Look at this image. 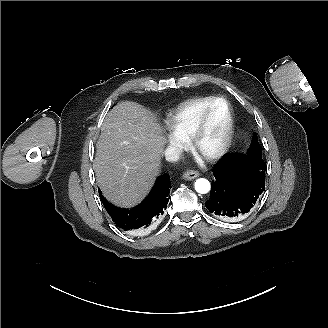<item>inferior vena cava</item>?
<instances>
[{
    "instance_id": "inferior-vena-cava-1",
    "label": "inferior vena cava",
    "mask_w": 328,
    "mask_h": 328,
    "mask_svg": "<svg viewBox=\"0 0 328 328\" xmlns=\"http://www.w3.org/2000/svg\"><path fill=\"white\" fill-rule=\"evenodd\" d=\"M165 159L168 162H176L181 155V149L175 145L168 146L164 151Z\"/></svg>"
}]
</instances>
